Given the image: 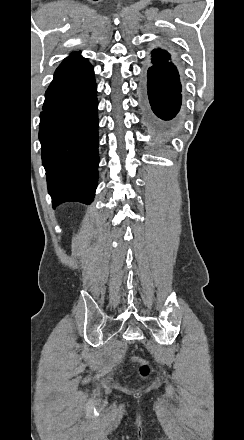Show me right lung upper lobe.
<instances>
[{
	"label": "right lung upper lobe",
	"mask_w": 244,
	"mask_h": 440,
	"mask_svg": "<svg viewBox=\"0 0 244 440\" xmlns=\"http://www.w3.org/2000/svg\"><path fill=\"white\" fill-rule=\"evenodd\" d=\"M69 62H79V63H82V64H87V63H89V62L87 61V59L81 57L79 53L72 54L71 56H69L68 58H66V59L62 62V64L69 63ZM62 64H61V65H62Z\"/></svg>",
	"instance_id": "1"
}]
</instances>
